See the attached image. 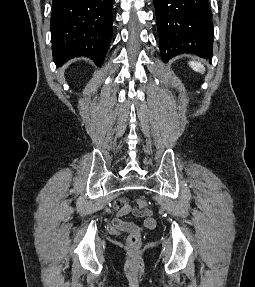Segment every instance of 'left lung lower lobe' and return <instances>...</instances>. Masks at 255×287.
<instances>
[{"mask_svg": "<svg viewBox=\"0 0 255 287\" xmlns=\"http://www.w3.org/2000/svg\"><path fill=\"white\" fill-rule=\"evenodd\" d=\"M163 61L181 53L211 59L213 23L209 0H153Z\"/></svg>", "mask_w": 255, "mask_h": 287, "instance_id": "obj_1", "label": "left lung lower lobe"}]
</instances>
